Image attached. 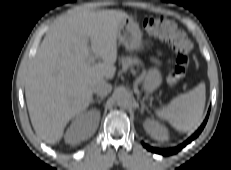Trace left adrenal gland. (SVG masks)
I'll return each mask as SVG.
<instances>
[{
  "label": "left adrenal gland",
  "instance_id": "left-adrenal-gland-1",
  "mask_svg": "<svg viewBox=\"0 0 231 170\" xmlns=\"http://www.w3.org/2000/svg\"><path fill=\"white\" fill-rule=\"evenodd\" d=\"M145 109H146L147 111H149V110H148V107L144 104V102H142V103H141V113H142V114H143V112H144Z\"/></svg>",
  "mask_w": 231,
  "mask_h": 170
}]
</instances>
